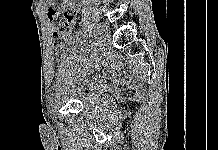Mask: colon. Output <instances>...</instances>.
I'll use <instances>...</instances> for the list:
<instances>
[{
	"label": "colon",
	"mask_w": 218,
	"mask_h": 150,
	"mask_svg": "<svg viewBox=\"0 0 218 150\" xmlns=\"http://www.w3.org/2000/svg\"><path fill=\"white\" fill-rule=\"evenodd\" d=\"M71 34H72V29L61 30L60 32L55 34L54 36L55 42L57 44H63L70 38Z\"/></svg>",
	"instance_id": "5ec220e1"
}]
</instances>
